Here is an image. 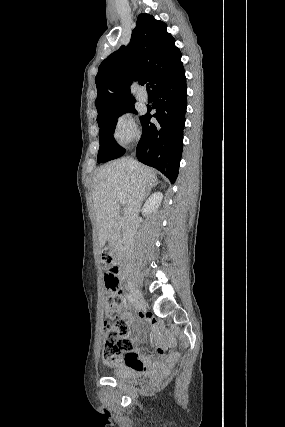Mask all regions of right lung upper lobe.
<instances>
[{
	"label": "right lung upper lobe",
	"mask_w": 285,
	"mask_h": 427,
	"mask_svg": "<svg viewBox=\"0 0 285 427\" xmlns=\"http://www.w3.org/2000/svg\"><path fill=\"white\" fill-rule=\"evenodd\" d=\"M183 70L181 52L166 24L149 14H140L129 45L121 46L99 66L95 77L97 122L134 104L132 81L146 79L153 90Z\"/></svg>",
	"instance_id": "right-lung-upper-lobe-1"
}]
</instances>
